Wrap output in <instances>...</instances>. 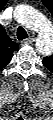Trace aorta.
I'll list each match as a JSON object with an SVG mask.
<instances>
[{"label": "aorta", "instance_id": "obj_1", "mask_svg": "<svg viewBox=\"0 0 53 120\" xmlns=\"http://www.w3.org/2000/svg\"><path fill=\"white\" fill-rule=\"evenodd\" d=\"M17 14L22 23L32 30L38 32L39 37L36 43L37 50L45 53L52 44L51 23L42 14L29 7L17 8Z\"/></svg>", "mask_w": 53, "mask_h": 120}]
</instances>
